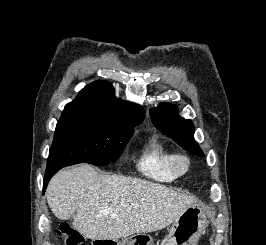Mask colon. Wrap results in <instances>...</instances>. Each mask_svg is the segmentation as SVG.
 Here are the masks:
<instances>
[{"label":"colon","instance_id":"1","mask_svg":"<svg viewBox=\"0 0 266 245\" xmlns=\"http://www.w3.org/2000/svg\"><path fill=\"white\" fill-rule=\"evenodd\" d=\"M58 235L64 239L65 245H83L84 238L74 230L67 222L61 223L57 231Z\"/></svg>","mask_w":266,"mask_h":245}]
</instances>
